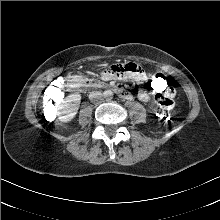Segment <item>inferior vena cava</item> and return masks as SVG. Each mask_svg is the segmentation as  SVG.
<instances>
[{
	"label": "inferior vena cava",
	"instance_id": "inferior-vena-cava-1",
	"mask_svg": "<svg viewBox=\"0 0 220 220\" xmlns=\"http://www.w3.org/2000/svg\"><path fill=\"white\" fill-rule=\"evenodd\" d=\"M100 96H101V93L98 92V91H95V92H91V93H90V99H91L92 101H95L96 99L100 98Z\"/></svg>",
	"mask_w": 220,
	"mask_h": 220
}]
</instances>
